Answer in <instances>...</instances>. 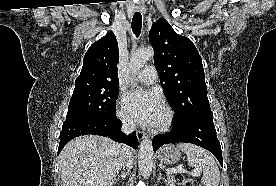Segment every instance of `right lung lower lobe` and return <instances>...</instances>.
<instances>
[{
  "label": "right lung lower lobe",
  "mask_w": 276,
  "mask_h": 186,
  "mask_svg": "<svg viewBox=\"0 0 276 186\" xmlns=\"http://www.w3.org/2000/svg\"><path fill=\"white\" fill-rule=\"evenodd\" d=\"M120 128L121 122L116 119V113L107 118L81 116L66 119L60 133L58 154L71 139L87 134L109 137L116 142L125 143L137 149L138 140L136 134L133 132L131 136L126 137Z\"/></svg>",
  "instance_id": "right-lung-lower-lobe-1"
}]
</instances>
